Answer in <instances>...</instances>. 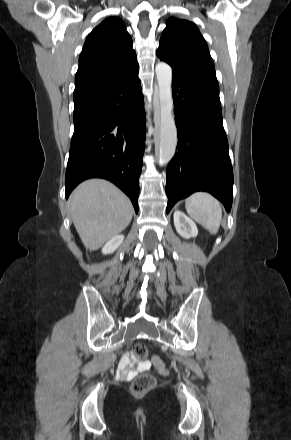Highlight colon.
Masks as SVG:
<instances>
[{"instance_id": "colon-1", "label": "colon", "mask_w": 291, "mask_h": 440, "mask_svg": "<svg viewBox=\"0 0 291 440\" xmlns=\"http://www.w3.org/2000/svg\"><path fill=\"white\" fill-rule=\"evenodd\" d=\"M133 354L137 359H146L148 357V349L143 343H136L133 346ZM153 364L160 374L168 372V367L158 357L153 358ZM155 385V379L149 374H142L138 376L131 384V392L133 395L141 397L146 395Z\"/></svg>"}]
</instances>
